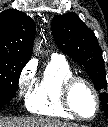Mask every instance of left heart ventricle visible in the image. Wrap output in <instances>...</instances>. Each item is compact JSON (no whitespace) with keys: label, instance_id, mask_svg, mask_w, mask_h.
Masks as SVG:
<instances>
[{"label":"left heart ventricle","instance_id":"1","mask_svg":"<svg viewBox=\"0 0 108 127\" xmlns=\"http://www.w3.org/2000/svg\"><path fill=\"white\" fill-rule=\"evenodd\" d=\"M76 110L83 116H91L95 110V100L88 88L78 85L72 96Z\"/></svg>","mask_w":108,"mask_h":127}]
</instances>
